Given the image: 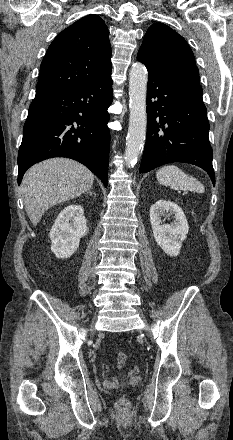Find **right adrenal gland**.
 Segmentation results:
<instances>
[{"mask_svg":"<svg viewBox=\"0 0 233 440\" xmlns=\"http://www.w3.org/2000/svg\"><path fill=\"white\" fill-rule=\"evenodd\" d=\"M87 193H89L90 195H92V192L89 190Z\"/></svg>","mask_w":233,"mask_h":440,"instance_id":"1","label":"right adrenal gland"}]
</instances>
